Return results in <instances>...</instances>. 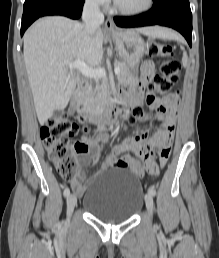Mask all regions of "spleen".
<instances>
[{
    "label": "spleen",
    "mask_w": 219,
    "mask_h": 258,
    "mask_svg": "<svg viewBox=\"0 0 219 258\" xmlns=\"http://www.w3.org/2000/svg\"><path fill=\"white\" fill-rule=\"evenodd\" d=\"M154 37L164 39V40H170V39H176L177 35L170 31L169 29L161 28V27H155V31L153 34ZM183 50V58H182V63L184 66H187L188 63V56L187 53L185 52L184 48L181 47Z\"/></svg>",
    "instance_id": "spleen-1"
}]
</instances>
